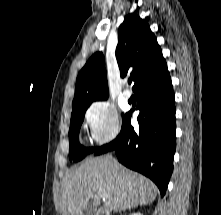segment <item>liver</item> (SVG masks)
<instances>
[{"label": "liver", "mask_w": 221, "mask_h": 215, "mask_svg": "<svg viewBox=\"0 0 221 215\" xmlns=\"http://www.w3.org/2000/svg\"><path fill=\"white\" fill-rule=\"evenodd\" d=\"M63 215H82L89 201L96 208L104 202L102 212H121L152 203L156 185L109 156L87 158L66 174L62 183Z\"/></svg>", "instance_id": "1"}]
</instances>
